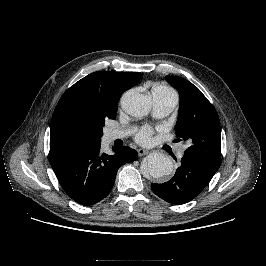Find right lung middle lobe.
<instances>
[{"label":"right lung middle lobe","mask_w":266,"mask_h":266,"mask_svg":"<svg viewBox=\"0 0 266 266\" xmlns=\"http://www.w3.org/2000/svg\"><path fill=\"white\" fill-rule=\"evenodd\" d=\"M117 112H99L94 115L82 113L73 114L66 124V130L72 142L97 143L101 142L102 127L105 119H114Z\"/></svg>","instance_id":"right-lung-middle-lobe-1"}]
</instances>
